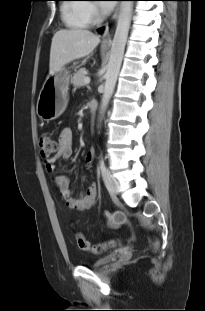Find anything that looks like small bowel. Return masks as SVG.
I'll return each mask as SVG.
<instances>
[{"label":"small bowel","instance_id":"c3829d8e","mask_svg":"<svg viewBox=\"0 0 205 311\" xmlns=\"http://www.w3.org/2000/svg\"><path fill=\"white\" fill-rule=\"evenodd\" d=\"M73 154V132L70 128H64L59 136V149L56 154L45 160V168L47 172L54 176L53 183L58 190L60 197L70 209L86 210L89 209L96 199L97 187L91 182L85 193L75 198L72 196L69 188V180L65 174H60L56 168V161L60 158L68 160ZM87 166L90 167L95 159V150L90 148L85 155Z\"/></svg>","mask_w":205,"mask_h":311}]
</instances>
